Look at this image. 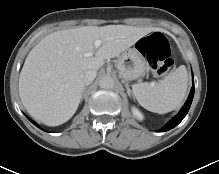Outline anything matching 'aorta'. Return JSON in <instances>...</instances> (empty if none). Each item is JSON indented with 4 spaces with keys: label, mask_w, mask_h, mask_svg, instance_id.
Returning <instances> with one entry per match:
<instances>
[{
    "label": "aorta",
    "mask_w": 219,
    "mask_h": 174,
    "mask_svg": "<svg viewBox=\"0 0 219 174\" xmlns=\"http://www.w3.org/2000/svg\"><path fill=\"white\" fill-rule=\"evenodd\" d=\"M114 80L112 77L109 76H105L103 78L100 79L99 81V86L102 89H112L114 87Z\"/></svg>",
    "instance_id": "762f6f07"
}]
</instances>
